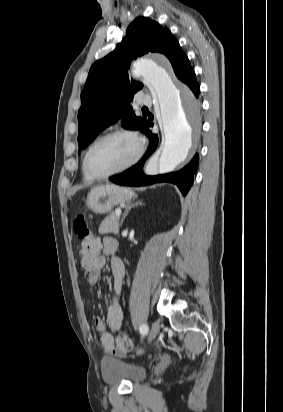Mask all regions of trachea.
Masks as SVG:
<instances>
[{"label": "trachea", "instance_id": "1", "mask_svg": "<svg viewBox=\"0 0 283 412\" xmlns=\"http://www.w3.org/2000/svg\"><path fill=\"white\" fill-rule=\"evenodd\" d=\"M143 112H148V108H143Z\"/></svg>", "mask_w": 283, "mask_h": 412}]
</instances>
